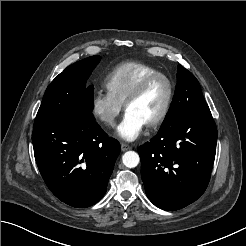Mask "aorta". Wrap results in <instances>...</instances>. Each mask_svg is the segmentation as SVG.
Instances as JSON below:
<instances>
[{
	"label": "aorta",
	"instance_id": "obj_1",
	"mask_svg": "<svg viewBox=\"0 0 246 246\" xmlns=\"http://www.w3.org/2000/svg\"><path fill=\"white\" fill-rule=\"evenodd\" d=\"M139 155L134 151H127L122 156L123 164L128 168H134L139 164Z\"/></svg>",
	"mask_w": 246,
	"mask_h": 246
}]
</instances>
